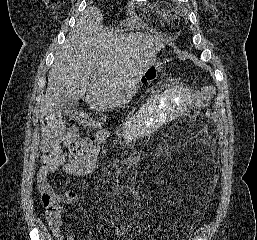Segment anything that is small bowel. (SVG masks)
I'll return each instance as SVG.
<instances>
[{"instance_id": "obj_1", "label": "small bowel", "mask_w": 257, "mask_h": 240, "mask_svg": "<svg viewBox=\"0 0 257 240\" xmlns=\"http://www.w3.org/2000/svg\"><path fill=\"white\" fill-rule=\"evenodd\" d=\"M110 132L99 127L93 139L83 136L76 127H51L47 129L41 141V167L37 173L40 193L54 195L60 203L75 204L79 201V193L67 189L56 195L50 183L52 176L70 175L84 177L92 175L96 169L102 145L109 139ZM48 224L55 240H76L70 236L62 237L59 223L47 213ZM116 234L125 240H137L135 230L123 220H109ZM88 240H95L89 238Z\"/></svg>"}]
</instances>
